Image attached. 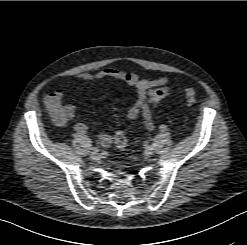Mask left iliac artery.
Listing matches in <instances>:
<instances>
[{"mask_svg": "<svg viewBox=\"0 0 247 245\" xmlns=\"http://www.w3.org/2000/svg\"><path fill=\"white\" fill-rule=\"evenodd\" d=\"M160 130H161V131L167 130V126H166V125H161V126H160Z\"/></svg>", "mask_w": 247, "mask_h": 245, "instance_id": "obj_1", "label": "left iliac artery"}]
</instances>
